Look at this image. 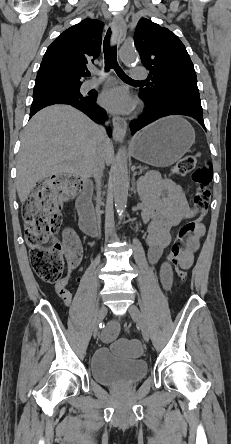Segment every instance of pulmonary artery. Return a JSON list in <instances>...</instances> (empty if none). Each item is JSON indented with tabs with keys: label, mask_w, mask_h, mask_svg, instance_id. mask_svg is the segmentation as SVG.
I'll use <instances>...</instances> for the list:
<instances>
[{
	"label": "pulmonary artery",
	"mask_w": 231,
	"mask_h": 444,
	"mask_svg": "<svg viewBox=\"0 0 231 444\" xmlns=\"http://www.w3.org/2000/svg\"><path fill=\"white\" fill-rule=\"evenodd\" d=\"M130 72H131V77L135 80H144L147 78L146 70L143 67H134L130 70ZM107 79H109L107 75H102V77L88 80L84 84V89L88 90L94 88Z\"/></svg>",
	"instance_id": "pulmonary-artery-1"
}]
</instances>
